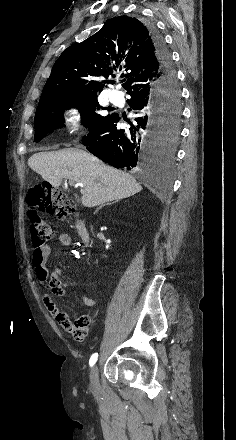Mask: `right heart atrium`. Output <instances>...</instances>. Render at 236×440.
<instances>
[{
  "mask_svg": "<svg viewBox=\"0 0 236 440\" xmlns=\"http://www.w3.org/2000/svg\"><path fill=\"white\" fill-rule=\"evenodd\" d=\"M63 120L66 127L70 130H77L82 123V111L78 106L66 107L63 111Z\"/></svg>",
  "mask_w": 236,
  "mask_h": 440,
  "instance_id": "d8ad5b80",
  "label": "right heart atrium"
}]
</instances>
